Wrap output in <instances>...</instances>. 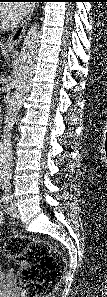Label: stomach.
I'll return each instance as SVG.
<instances>
[{
  "label": "stomach",
  "mask_w": 107,
  "mask_h": 297,
  "mask_svg": "<svg viewBox=\"0 0 107 297\" xmlns=\"http://www.w3.org/2000/svg\"><path fill=\"white\" fill-rule=\"evenodd\" d=\"M7 51H8V52H11V51H12V48L8 49Z\"/></svg>",
  "instance_id": "obj_1"
}]
</instances>
